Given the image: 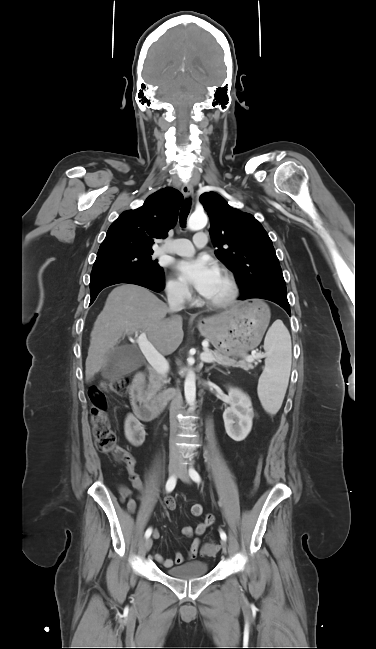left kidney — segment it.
I'll use <instances>...</instances> for the list:
<instances>
[{
	"mask_svg": "<svg viewBox=\"0 0 376 649\" xmlns=\"http://www.w3.org/2000/svg\"><path fill=\"white\" fill-rule=\"evenodd\" d=\"M230 406L223 413L226 433L235 441L244 440L252 428V403L238 388H229Z\"/></svg>",
	"mask_w": 376,
	"mask_h": 649,
	"instance_id": "left-kidney-1",
	"label": "left kidney"
}]
</instances>
